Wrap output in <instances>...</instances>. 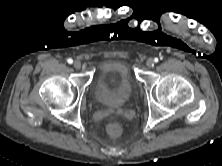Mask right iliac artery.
Segmentation results:
<instances>
[{
	"instance_id": "right-iliac-artery-1",
	"label": "right iliac artery",
	"mask_w": 222,
	"mask_h": 166,
	"mask_svg": "<svg viewBox=\"0 0 222 166\" xmlns=\"http://www.w3.org/2000/svg\"><path fill=\"white\" fill-rule=\"evenodd\" d=\"M67 62H68L69 64H72V63H73V60H72L71 58H69V59L67 60Z\"/></svg>"
}]
</instances>
